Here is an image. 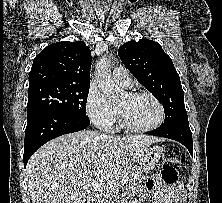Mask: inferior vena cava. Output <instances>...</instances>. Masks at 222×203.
Returning <instances> with one entry per match:
<instances>
[{"mask_svg": "<svg viewBox=\"0 0 222 203\" xmlns=\"http://www.w3.org/2000/svg\"><path fill=\"white\" fill-rule=\"evenodd\" d=\"M104 136H105L104 134L100 135V137H104Z\"/></svg>", "mask_w": 222, "mask_h": 203, "instance_id": "inferior-vena-cava-1", "label": "inferior vena cava"}]
</instances>
